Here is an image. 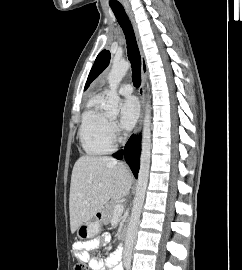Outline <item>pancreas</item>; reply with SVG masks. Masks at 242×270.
Segmentation results:
<instances>
[{
  "label": "pancreas",
  "mask_w": 242,
  "mask_h": 270,
  "mask_svg": "<svg viewBox=\"0 0 242 270\" xmlns=\"http://www.w3.org/2000/svg\"><path fill=\"white\" fill-rule=\"evenodd\" d=\"M116 203L117 202H114V201L109 202L103 208V213L105 216V218H104L105 223H109L112 220L113 216L115 215L114 214V207H115Z\"/></svg>",
  "instance_id": "cf45deb5"
}]
</instances>
